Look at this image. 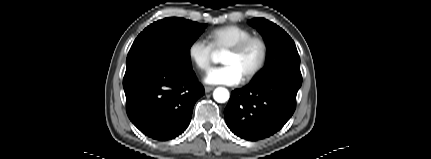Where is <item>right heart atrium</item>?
I'll return each instance as SVG.
<instances>
[{
    "instance_id": "1",
    "label": "right heart atrium",
    "mask_w": 431,
    "mask_h": 159,
    "mask_svg": "<svg viewBox=\"0 0 431 159\" xmlns=\"http://www.w3.org/2000/svg\"><path fill=\"white\" fill-rule=\"evenodd\" d=\"M214 53L212 44L203 38L194 39L187 48L190 61L201 71L209 69Z\"/></svg>"
}]
</instances>
